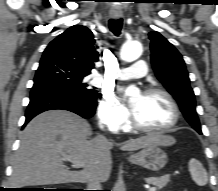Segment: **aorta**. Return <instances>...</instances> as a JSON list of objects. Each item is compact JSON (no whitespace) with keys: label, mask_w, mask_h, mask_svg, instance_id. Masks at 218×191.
I'll use <instances>...</instances> for the list:
<instances>
[{"label":"aorta","mask_w":218,"mask_h":191,"mask_svg":"<svg viewBox=\"0 0 218 191\" xmlns=\"http://www.w3.org/2000/svg\"><path fill=\"white\" fill-rule=\"evenodd\" d=\"M142 51L141 43L135 41L126 42L121 47L120 57L125 62H133L141 56ZM139 93V89L135 86H130L125 91V95L129 97L137 96Z\"/></svg>","instance_id":"1"}]
</instances>
